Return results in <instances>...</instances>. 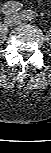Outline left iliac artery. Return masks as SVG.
<instances>
[{
    "label": "left iliac artery",
    "mask_w": 51,
    "mask_h": 153,
    "mask_svg": "<svg viewBox=\"0 0 51 153\" xmlns=\"http://www.w3.org/2000/svg\"><path fill=\"white\" fill-rule=\"evenodd\" d=\"M22 16H23L24 20H26V21H32L35 17L34 12L31 11L30 9L29 10H24L22 12Z\"/></svg>",
    "instance_id": "left-iliac-artery-1"
}]
</instances>
